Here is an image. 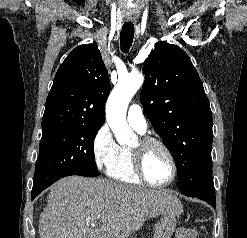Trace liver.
Instances as JSON below:
<instances>
[{
  "label": "liver",
  "instance_id": "6515ba94",
  "mask_svg": "<svg viewBox=\"0 0 247 238\" xmlns=\"http://www.w3.org/2000/svg\"><path fill=\"white\" fill-rule=\"evenodd\" d=\"M181 210L178 198L165 191L69 176L50 187L39 233L40 238H126L148 218Z\"/></svg>",
  "mask_w": 247,
  "mask_h": 238
}]
</instances>
